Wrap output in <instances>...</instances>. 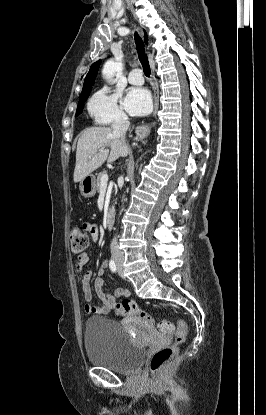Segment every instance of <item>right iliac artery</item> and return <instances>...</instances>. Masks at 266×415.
<instances>
[{"label": "right iliac artery", "mask_w": 266, "mask_h": 415, "mask_svg": "<svg viewBox=\"0 0 266 415\" xmlns=\"http://www.w3.org/2000/svg\"><path fill=\"white\" fill-rule=\"evenodd\" d=\"M109 267H110V270H111L113 273H115V272H116L117 267H116V264H115L114 260H110V261H109Z\"/></svg>", "instance_id": "1"}]
</instances>
